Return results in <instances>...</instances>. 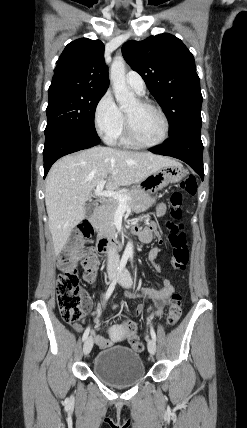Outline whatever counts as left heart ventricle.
Segmentation results:
<instances>
[{
	"mask_svg": "<svg viewBox=\"0 0 247 428\" xmlns=\"http://www.w3.org/2000/svg\"><path fill=\"white\" fill-rule=\"evenodd\" d=\"M131 128L143 142H156L163 134L164 126L160 116L152 109L140 106L134 101L125 109Z\"/></svg>",
	"mask_w": 247,
	"mask_h": 428,
	"instance_id": "obj_1",
	"label": "left heart ventricle"
}]
</instances>
